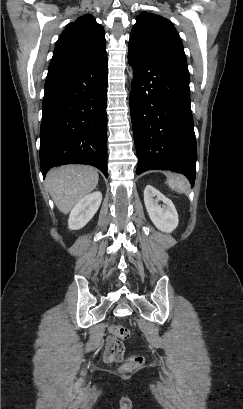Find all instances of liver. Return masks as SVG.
Returning <instances> with one entry per match:
<instances>
[{
    "label": "liver",
    "mask_w": 243,
    "mask_h": 409,
    "mask_svg": "<svg viewBox=\"0 0 243 409\" xmlns=\"http://www.w3.org/2000/svg\"><path fill=\"white\" fill-rule=\"evenodd\" d=\"M98 180L99 175L94 167L65 165L50 170L45 183L59 211L67 214L96 188Z\"/></svg>",
    "instance_id": "1"
}]
</instances>
